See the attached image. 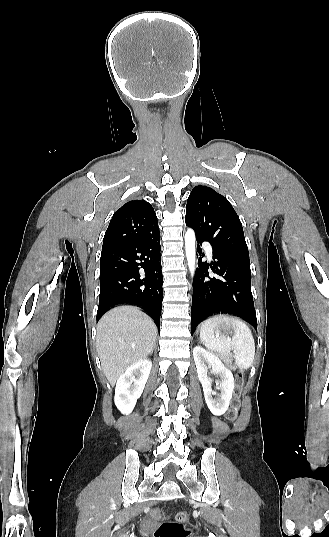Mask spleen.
I'll list each match as a JSON object with an SVG mask.
<instances>
[{"instance_id":"obj_1","label":"spleen","mask_w":329,"mask_h":537,"mask_svg":"<svg viewBox=\"0 0 329 537\" xmlns=\"http://www.w3.org/2000/svg\"><path fill=\"white\" fill-rule=\"evenodd\" d=\"M234 326L232 339L226 336L214 335L213 327L217 325L220 318H210L201 325L200 339L203 345L211 351H216L227 356H231V350L235 353L236 365L241 369H248L255 356V342L250 328L240 319L231 318Z\"/></svg>"}]
</instances>
